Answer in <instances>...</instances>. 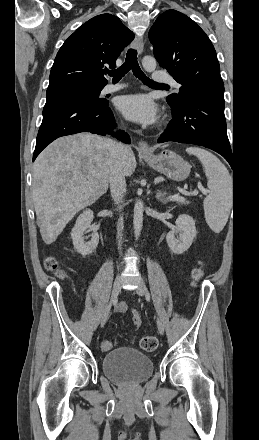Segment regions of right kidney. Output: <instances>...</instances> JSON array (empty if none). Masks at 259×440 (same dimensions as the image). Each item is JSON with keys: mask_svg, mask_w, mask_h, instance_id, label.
<instances>
[{"mask_svg": "<svg viewBox=\"0 0 259 440\" xmlns=\"http://www.w3.org/2000/svg\"><path fill=\"white\" fill-rule=\"evenodd\" d=\"M93 217L92 210L88 209L84 211L77 218L76 223L71 231V238L74 248L82 256L92 254L99 243V235L97 231L91 227ZM87 230H93V234L89 242H85L83 236L84 232Z\"/></svg>", "mask_w": 259, "mask_h": 440, "instance_id": "obj_1", "label": "right kidney"}]
</instances>
